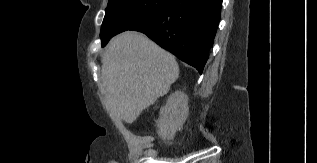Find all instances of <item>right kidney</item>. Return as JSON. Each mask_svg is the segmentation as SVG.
I'll return each instance as SVG.
<instances>
[{
  "label": "right kidney",
  "instance_id": "ca27d5eb",
  "mask_svg": "<svg viewBox=\"0 0 317 163\" xmlns=\"http://www.w3.org/2000/svg\"><path fill=\"white\" fill-rule=\"evenodd\" d=\"M188 97L181 91L172 93L160 110L157 122L158 136L164 141L173 140L188 117Z\"/></svg>",
  "mask_w": 317,
  "mask_h": 163
}]
</instances>
